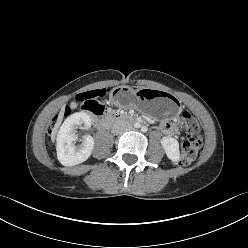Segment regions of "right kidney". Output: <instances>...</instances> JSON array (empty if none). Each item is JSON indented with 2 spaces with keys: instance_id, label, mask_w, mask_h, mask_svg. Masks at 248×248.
I'll use <instances>...</instances> for the list:
<instances>
[{
  "instance_id": "right-kidney-1",
  "label": "right kidney",
  "mask_w": 248,
  "mask_h": 248,
  "mask_svg": "<svg viewBox=\"0 0 248 248\" xmlns=\"http://www.w3.org/2000/svg\"><path fill=\"white\" fill-rule=\"evenodd\" d=\"M91 127V119L84 112L74 113L69 116L59 129L57 135V158L64 166H74L85 162L94 148V139L86 135L81 146L76 147L73 141L77 138L76 128L80 125Z\"/></svg>"
}]
</instances>
